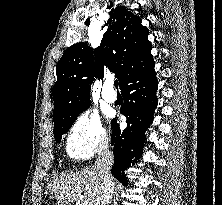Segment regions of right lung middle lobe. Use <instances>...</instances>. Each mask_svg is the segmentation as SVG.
<instances>
[{"label":"right lung middle lobe","instance_id":"obj_1","mask_svg":"<svg viewBox=\"0 0 222 205\" xmlns=\"http://www.w3.org/2000/svg\"><path fill=\"white\" fill-rule=\"evenodd\" d=\"M87 108L88 107L84 108L83 110H81L80 112H78L75 115L69 116L67 118H64V119H61L58 121H54L53 134H54L57 142H60V140L62 138V134L66 133L70 129V127L74 123L77 116Z\"/></svg>","mask_w":222,"mask_h":205}]
</instances>
